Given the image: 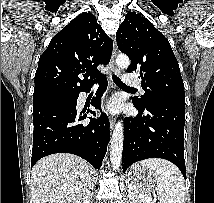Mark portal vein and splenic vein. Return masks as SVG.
<instances>
[{
	"label": "portal vein and splenic vein",
	"mask_w": 214,
	"mask_h": 203,
	"mask_svg": "<svg viewBox=\"0 0 214 203\" xmlns=\"http://www.w3.org/2000/svg\"><path fill=\"white\" fill-rule=\"evenodd\" d=\"M130 190H132V188H130ZM151 195H146V194H140V198L144 199V200H152L151 197H149Z\"/></svg>",
	"instance_id": "18ae733b"
}]
</instances>
